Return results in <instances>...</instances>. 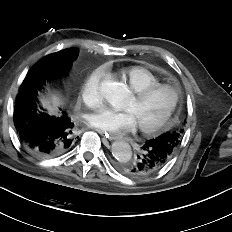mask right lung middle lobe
Listing matches in <instances>:
<instances>
[{
    "label": "right lung middle lobe",
    "instance_id": "1",
    "mask_svg": "<svg viewBox=\"0 0 232 232\" xmlns=\"http://www.w3.org/2000/svg\"><path fill=\"white\" fill-rule=\"evenodd\" d=\"M76 57V51L69 49H64V51L61 50L43 57L29 70L21 84L19 94L23 89L29 87L35 88L38 92L42 89L46 82L61 73L67 72L70 68V64L76 59Z\"/></svg>",
    "mask_w": 232,
    "mask_h": 232
}]
</instances>
